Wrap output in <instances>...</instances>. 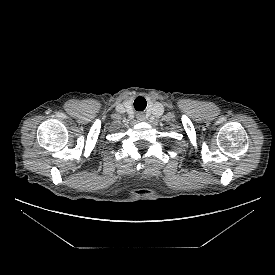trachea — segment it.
I'll use <instances>...</instances> for the list:
<instances>
[{
    "label": "trachea",
    "mask_w": 275,
    "mask_h": 275,
    "mask_svg": "<svg viewBox=\"0 0 275 275\" xmlns=\"http://www.w3.org/2000/svg\"><path fill=\"white\" fill-rule=\"evenodd\" d=\"M147 102L144 97H137L134 101V107L137 111H143L146 108Z\"/></svg>",
    "instance_id": "obj_1"
}]
</instances>
